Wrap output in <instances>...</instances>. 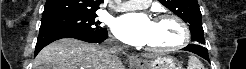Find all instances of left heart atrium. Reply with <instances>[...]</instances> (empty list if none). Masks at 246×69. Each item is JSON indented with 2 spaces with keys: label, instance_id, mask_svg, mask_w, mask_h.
<instances>
[{
  "label": "left heart atrium",
  "instance_id": "left-heart-atrium-1",
  "mask_svg": "<svg viewBox=\"0 0 246 69\" xmlns=\"http://www.w3.org/2000/svg\"><path fill=\"white\" fill-rule=\"evenodd\" d=\"M152 21L144 13H128L113 21V32L123 43L143 46L150 35Z\"/></svg>",
  "mask_w": 246,
  "mask_h": 69
}]
</instances>
